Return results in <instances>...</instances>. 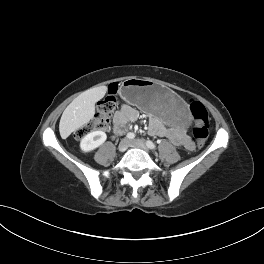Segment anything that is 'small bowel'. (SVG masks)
Returning a JSON list of instances; mask_svg holds the SVG:
<instances>
[{
  "instance_id": "obj_1",
  "label": "small bowel",
  "mask_w": 264,
  "mask_h": 264,
  "mask_svg": "<svg viewBox=\"0 0 264 264\" xmlns=\"http://www.w3.org/2000/svg\"><path fill=\"white\" fill-rule=\"evenodd\" d=\"M139 117L138 111L128 105H123L115 114L114 125L121 129L125 123L133 122ZM149 132L153 136L166 137L173 144L187 149L193 148V142L183 127H166L158 118H152L149 123Z\"/></svg>"
}]
</instances>
